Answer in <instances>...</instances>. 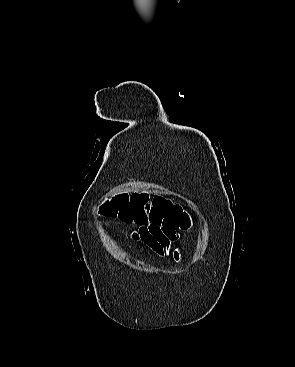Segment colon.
<instances>
[{"instance_id": "1", "label": "colon", "mask_w": 295, "mask_h": 367, "mask_svg": "<svg viewBox=\"0 0 295 367\" xmlns=\"http://www.w3.org/2000/svg\"><path fill=\"white\" fill-rule=\"evenodd\" d=\"M117 211L128 222H159L170 221L172 224L187 228L189 218L177 206L162 197H155L151 203L145 194L123 195L115 203Z\"/></svg>"}]
</instances>
